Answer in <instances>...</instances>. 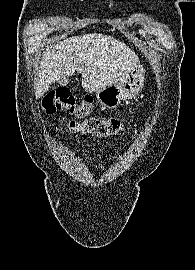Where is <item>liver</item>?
Returning a JSON list of instances; mask_svg holds the SVG:
<instances>
[{"label": "liver", "mask_w": 195, "mask_h": 270, "mask_svg": "<svg viewBox=\"0 0 195 270\" xmlns=\"http://www.w3.org/2000/svg\"><path fill=\"white\" fill-rule=\"evenodd\" d=\"M35 85L40 98L60 79L81 74L89 93L125 80L139 66V57L125 43L103 34H85L50 44L43 52Z\"/></svg>", "instance_id": "obj_1"}]
</instances>
